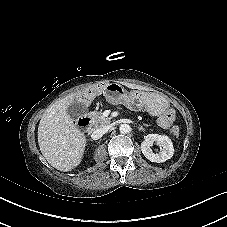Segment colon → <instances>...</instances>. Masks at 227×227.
Wrapping results in <instances>:
<instances>
[{"mask_svg":"<svg viewBox=\"0 0 227 227\" xmlns=\"http://www.w3.org/2000/svg\"><path fill=\"white\" fill-rule=\"evenodd\" d=\"M93 100L97 99L98 98V95H93Z\"/></svg>","mask_w":227,"mask_h":227,"instance_id":"obj_1","label":"colon"}]
</instances>
